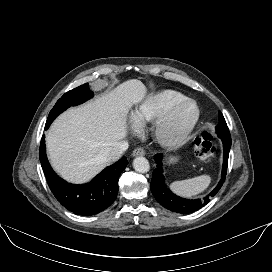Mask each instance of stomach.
<instances>
[{
    "mask_svg": "<svg viewBox=\"0 0 272 272\" xmlns=\"http://www.w3.org/2000/svg\"><path fill=\"white\" fill-rule=\"evenodd\" d=\"M178 160H179V158H178L177 156H171V157L169 158V160H168V163H169V164H175V163L178 162Z\"/></svg>",
    "mask_w": 272,
    "mask_h": 272,
    "instance_id": "stomach-1",
    "label": "stomach"
}]
</instances>
